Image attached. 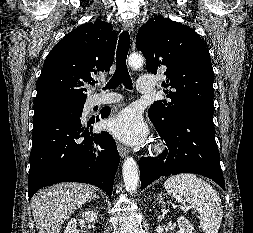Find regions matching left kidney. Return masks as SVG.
Masks as SVG:
<instances>
[{
	"label": "left kidney",
	"mask_w": 253,
	"mask_h": 233,
	"mask_svg": "<svg viewBox=\"0 0 253 233\" xmlns=\"http://www.w3.org/2000/svg\"><path fill=\"white\" fill-rule=\"evenodd\" d=\"M177 223H178V227L180 229V233H194L193 225L184 216H180L177 219Z\"/></svg>",
	"instance_id": "left-kidney-1"
}]
</instances>
